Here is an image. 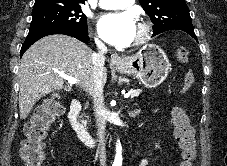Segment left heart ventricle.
<instances>
[{"label": "left heart ventricle", "instance_id": "b2bd125f", "mask_svg": "<svg viewBox=\"0 0 227 166\" xmlns=\"http://www.w3.org/2000/svg\"><path fill=\"white\" fill-rule=\"evenodd\" d=\"M138 34H139V25L136 28V33H135V37L134 38H136L138 36Z\"/></svg>", "mask_w": 227, "mask_h": 166}]
</instances>
